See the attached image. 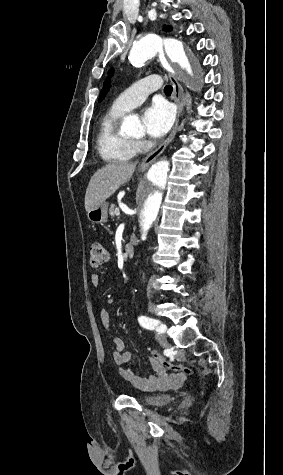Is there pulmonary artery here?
<instances>
[{
    "label": "pulmonary artery",
    "instance_id": "obj_1",
    "mask_svg": "<svg viewBox=\"0 0 283 475\" xmlns=\"http://www.w3.org/2000/svg\"><path fill=\"white\" fill-rule=\"evenodd\" d=\"M162 80H136L126 91L120 94L113 102V107L127 111L139 105L150 96L155 89H162Z\"/></svg>",
    "mask_w": 283,
    "mask_h": 475
}]
</instances>
